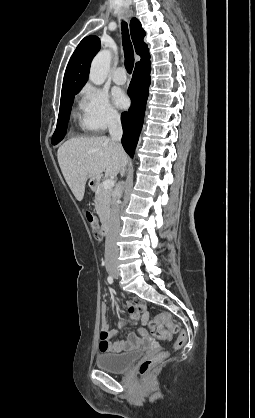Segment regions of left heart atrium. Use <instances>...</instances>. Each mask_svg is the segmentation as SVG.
Listing matches in <instances>:
<instances>
[{
    "instance_id": "39dd6f15",
    "label": "left heart atrium",
    "mask_w": 255,
    "mask_h": 418,
    "mask_svg": "<svg viewBox=\"0 0 255 418\" xmlns=\"http://www.w3.org/2000/svg\"><path fill=\"white\" fill-rule=\"evenodd\" d=\"M113 99L115 104L120 108H124L128 105V98L126 97L125 93L121 90H115L113 92Z\"/></svg>"
}]
</instances>
